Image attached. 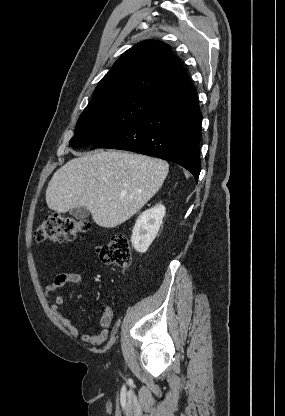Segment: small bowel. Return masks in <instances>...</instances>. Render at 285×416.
I'll use <instances>...</instances> for the list:
<instances>
[{
  "mask_svg": "<svg viewBox=\"0 0 285 416\" xmlns=\"http://www.w3.org/2000/svg\"><path fill=\"white\" fill-rule=\"evenodd\" d=\"M83 277L79 270L74 268H64L56 272L51 280L44 288V295L47 301H53L50 306L51 313L60 326L68 331L72 337L80 336L81 340L92 345H100L104 343L109 335L110 326L113 321V310L110 306H106L100 318V330L95 334L83 333L80 335L78 328L73 325L71 320L66 317L61 307L65 303L63 295H56V290L63 287L67 283L82 284Z\"/></svg>",
  "mask_w": 285,
  "mask_h": 416,
  "instance_id": "obj_1",
  "label": "small bowel"
}]
</instances>
